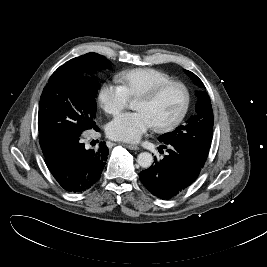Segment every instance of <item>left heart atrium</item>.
Listing matches in <instances>:
<instances>
[{"instance_id": "1", "label": "left heart atrium", "mask_w": 267, "mask_h": 267, "mask_svg": "<svg viewBox=\"0 0 267 267\" xmlns=\"http://www.w3.org/2000/svg\"><path fill=\"white\" fill-rule=\"evenodd\" d=\"M152 127L142 112L120 114L107 125V134L114 140L137 142Z\"/></svg>"}]
</instances>
